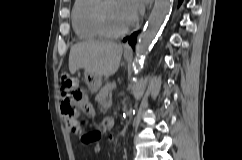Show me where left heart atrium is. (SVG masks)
Here are the masks:
<instances>
[{
	"label": "left heart atrium",
	"mask_w": 242,
	"mask_h": 160,
	"mask_svg": "<svg viewBox=\"0 0 242 160\" xmlns=\"http://www.w3.org/2000/svg\"><path fill=\"white\" fill-rule=\"evenodd\" d=\"M129 24L133 23L143 12L142 0H119Z\"/></svg>",
	"instance_id": "39dd6f15"
}]
</instances>
